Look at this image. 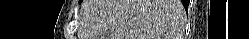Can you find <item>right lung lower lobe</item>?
Segmentation results:
<instances>
[{
	"label": "right lung lower lobe",
	"instance_id": "obj_1",
	"mask_svg": "<svg viewBox=\"0 0 249 39\" xmlns=\"http://www.w3.org/2000/svg\"><path fill=\"white\" fill-rule=\"evenodd\" d=\"M183 5H184L185 9H188V1H183Z\"/></svg>",
	"mask_w": 249,
	"mask_h": 39
}]
</instances>
